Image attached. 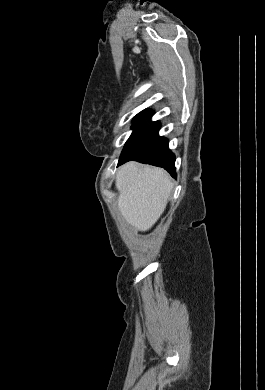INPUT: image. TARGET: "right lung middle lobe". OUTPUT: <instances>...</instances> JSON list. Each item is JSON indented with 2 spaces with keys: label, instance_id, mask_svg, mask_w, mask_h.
<instances>
[{
  "label": "right lung middle lobe",
  "instance_id": "right-lung-middle-lobe-1",
  "mask_svg": "<svg viewBox=\"0 0 265 390\" xmlns=\"http://www.w3.org/2000/svg\"><path fill=\"white\" fill-rule=\"evenodd\" d=\"M143 112H144V111H142V112H140L139 114H137V115L135 116L134 120H135L138 116H140Z\"/></svg>",
  "mask_w": 265,
  "mask_h": 390
}]
</instances>
